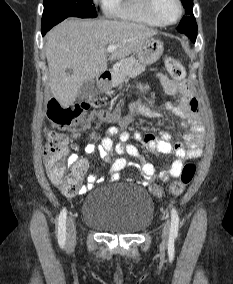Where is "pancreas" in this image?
Here are the masks:
<instances>
[{"label": "pancreas", "instance_id": "1", "mask_svg": "<svg viewBox=\"0 0 233 284\" xmlns=\"http://www.w3.org/2000/svg\"><path fill=\"white\" fill-rule=\"evenodd\" d=\"M145 71V66L134 56L120 60L114 69V83L120 85L127 77H134Z\"/></svg>", "mask_w": 233, "mask_h": 284}]
</instances>
